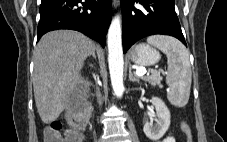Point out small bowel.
I'll use <instances>...</instances> for the list:
<instances>
[{
  "instance_id": "1",
  "label": "small bowel",
  "mask_w": 227,
  "mask_h": 142,
  "mask_svg": "<svg viewBox=\"0 0 227 142\" xmlns=\"http://www.w3.org/2000/svg\"><path fill=\"white\" fill-rule=\"evenodd\" d=\"M157 142H176V140L172 135H168L164 137L162 140H159Z\"/></svg>"
}]
</instances>
